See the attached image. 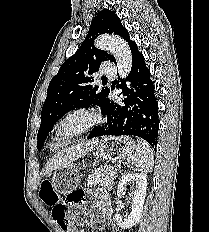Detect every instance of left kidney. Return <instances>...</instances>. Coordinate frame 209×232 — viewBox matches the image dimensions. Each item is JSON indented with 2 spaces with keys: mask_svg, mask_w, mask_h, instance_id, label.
Returning <instances> with one entry per match:
<instances>
[{
  "mask_svg": "<svg viewBox=\"0 0 209 232\" xmlns=\"http://www.w3.org/2000/svg\"><path fill=\"white\" fill-rule=\"evenodd\" d=\"M136 190L132 196V211L126 219H123L119 214L114 216V220L117 225L122 229H129L136 225L142 215L144 200L146 196L147 188V175L144 173H128L124 175L119 183L117 195L118 197H123L125 195V190L128 186L134 185Z\"/></svg>",
  "mask_w": 209,
  "mask_h": 232,
  "instance_id": "left-kidney-1",
  "label": "left kidney"
}]
</instances>
